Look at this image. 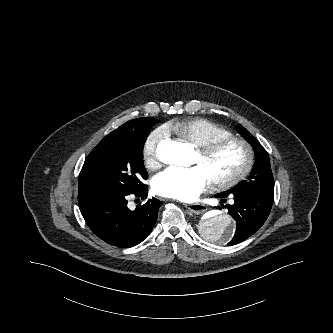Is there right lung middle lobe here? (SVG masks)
Listing matches in <instances>:
<instances>
[{
	"mask_svg": "<svg viewBox=\"0 0 333 333\" xmlns=\"http://www.w3.org/2000/svg\"><path fill=\"white\" fill-rule=\"evenodd\" d=\"M159 121L146 117L128 132H111L91 151L79 174V194L89 191H136L147 179L143 166V146Z\"/></svg>",
	"mask_w": 333,
	"mask_h": 333,
	"instance_id": "dd1d6c3e",
	"label": "right lung middle lobe"
}]
</instances>
